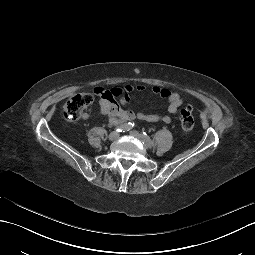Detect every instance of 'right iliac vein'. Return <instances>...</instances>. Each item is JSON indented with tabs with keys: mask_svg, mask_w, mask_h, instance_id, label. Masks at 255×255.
I'll return each mask as SVG.
<instances>
[{
	"mask_svg": "<svg viewBox=\"0 0 255 255\" xmlns=\"http://www.w3.org/2000/svg\"><path fill=\"white\" fill-rule=\"evenodd\" d=\"M118 137H119V133H118V132H112V133L109 135L108 139H109L110 141H115Z\"/></svg>",
	"mask_w": 255,
	"mask_h": 255,
	"instance_id": "obj_1",
	"label": "right iliac vein"
}]
</instances>
